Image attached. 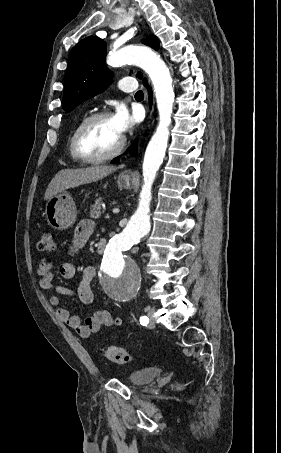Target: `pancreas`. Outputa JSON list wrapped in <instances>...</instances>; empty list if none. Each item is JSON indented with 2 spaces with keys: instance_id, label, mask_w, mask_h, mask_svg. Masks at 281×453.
Here are the masks:
<instances>
[{
  "instance_id": "obj_1",
  "label": "pancreas",
  "mask_w": 281,
  "mask_h": 453,
  "mask_svg": "<svg viewBox=\"0 0 281 453\" xmlns=\"http://www.w3.org/2000/svg\"><path fill=\"white\" fill-rule=\"evenodd\" d=\"M104 212V208H102V198H96L95 204H91L90 208V216L92 218H100Z\"/></svg>"
}]
</instances>
